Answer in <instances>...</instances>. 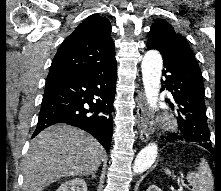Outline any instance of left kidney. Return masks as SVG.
<instances>
[{
	"mask_svg": "<svg viewBox=\"0 0 221 191\" xmlns=\"http://www.w3.org/2000/svg\"><path fill=\"white\" fill-rule=\"evenodd\" d=\"M146 191H163V190H161L156 185H151V186H149V188Z\"/></svg>",
	"mask_w": 221,
	"mask_h": 191,
	"instance_id": "1",
	"label": "left kidney"
}]
</instances>
